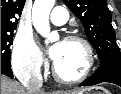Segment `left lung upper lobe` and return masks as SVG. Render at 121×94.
Wrapping results in <instances>:
<instances>
[{"label": "left lung upper lobe", "instance_id": "obj_1", "mask_svg": "<svg viewBox=\"0 0 121 94\" xmlns=\"http://www.w3.org/2000/svg\"><path fill=\"white\" fill-rule=\"evenodd\" d=\"M81 20L86 36L95 48L102 64L121 63L107 0H63Z\"/></svg>", "mask_w": 121, "mask_h": 94}]
</instances>
